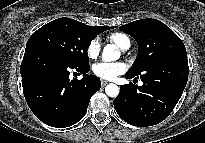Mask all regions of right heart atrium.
Instances as JSON below:
<instances>
[{
	"instance_id": "1",
	"label": "right heart atrium",
	"mask_w": 205,
	"mask_h": 143,
	"mask_svg": "<svg viewBox=\"0 0 205 143\" xmlns=\"http://www.w3.org/2000/svg\"><path fill=\"white\" fill-rule=\"evenodd\" d=\"M101 50V41L99 38L95 37L87 45V55L89 58L94 59L96 58Z\"/></svg>"
}]
</instances>
